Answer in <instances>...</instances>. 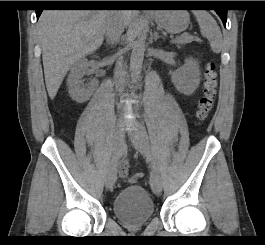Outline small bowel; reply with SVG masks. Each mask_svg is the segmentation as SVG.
Instances as JSON below:
<instances>
[{
	"label": "small bowel",
	"mask_w": 265,
	"mask_h": 245,
	"mask_svg": "<svg viewBox=\"0 0 265 245\" xmlns=\"http://www.w3.org/2000/svg\"><path fill=\"white\" fill-rule=\"evenodd\" d=\"M127 163L126 162H124V163H122L121 164V166H120V174L122 175V176H125L126 175V173H127Z\"/></svg>",
	"instance_id": "1"
}]
</instances>
